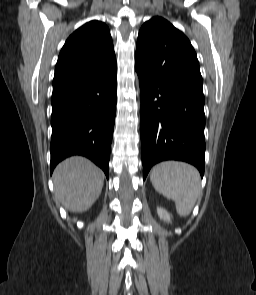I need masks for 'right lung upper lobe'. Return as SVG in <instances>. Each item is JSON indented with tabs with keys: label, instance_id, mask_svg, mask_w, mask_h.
<instances>
[{
	"label": "right lung upper lobe",
	"instance_id": "right-lung-upper-lobe-1",
	"mask_svg": "<svg viewBox=\"0 0 256 295\" xmlns=\"http://www.w3.org/2000/svg\"><path fill=\"white\" fill-rule=\"evenodd\" d=\"M115 65L109 29L104 23L93 20L81 26L66 40L55 67L53 85Z\"/></svg>",
	"mask_w": 256,
	"mask_h": 295
}]
</instances>
